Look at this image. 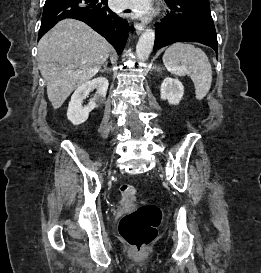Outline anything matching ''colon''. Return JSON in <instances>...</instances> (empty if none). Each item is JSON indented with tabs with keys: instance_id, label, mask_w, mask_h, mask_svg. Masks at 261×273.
<instances>
[{
	"instance_id": "5ec220e1",
	"label": "colon",
	"mask_w": 261,
	"mask_h": 273,
	"mask_svg": "<svg viewBox=\"0 0 261 273\" xmlns=\"http://www.w3.org/2000/svg\"><path fill=\"white\" fill-rule=\"evenodd\" d=\"M120 193L123 199L131 201L135 199L137 189L134 185L123 184ZM161 218V210L157 206L142 205L122 217L119 234L136 251H142L155 239Z\"/></svg>"
}]
</instances>
